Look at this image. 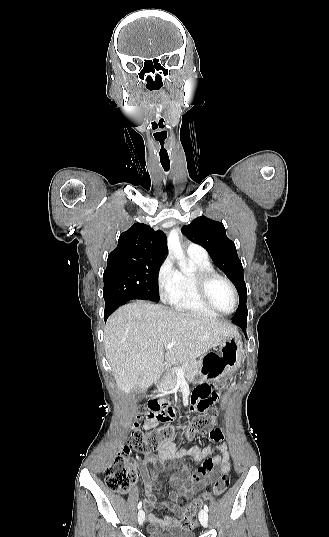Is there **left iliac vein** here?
<instances>
[{
  "label": "left iliac vein",
  "instance_id": "1",
  "mask_svg": "<svg viewBox=\"0 0 329 537\" xmlns=\"http://www.w3.org/2000/svg\"><path fill=\"white\" fill-rule=\"evenodd\" d=\"M199 521L203 527L208 526V513L205 510L199 512Z\"/></svg>",
  "mask_w": 329,
  "mask_h": 537
}]
</instances>
